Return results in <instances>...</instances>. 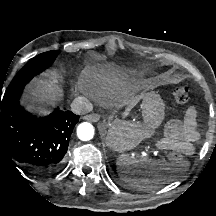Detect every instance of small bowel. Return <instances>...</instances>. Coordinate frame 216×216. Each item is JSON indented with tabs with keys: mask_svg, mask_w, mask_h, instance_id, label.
<instances>
[{
	"mask_svg": "<svg viewBox=\"0 0 216 216\" xmlns=\"http://www.w3.org/2000/svg\"><path fill=\"white\" fill-rule=\"evenodd\" d=\"M199 138L197 112L193 106H190L186 109L182 120L171 119L167 122L163 140L169 149L191 156L194 153L193 143Z\"/></svg>",
	"mask_w": 216,
	"mask_h": 216,
	"instance_id": "obj_1",
	"label": "small bowel"
}]
</instances>
